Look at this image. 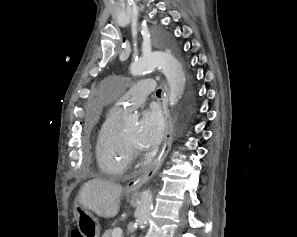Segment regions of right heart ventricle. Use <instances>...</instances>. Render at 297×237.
Listing matches in <instances>:
<instances>
[{
  "label": "right heart ventricle",
  "instance_id": "e07e8e85",
  "mask_svg": "<svg viewBox=\"0 0 297 237\" xmlns=\"http://www.w3.org/2000/svg\"><path fill=\"white\" fill-rule=\"evenodd\" d=\"M121 114L109 112L103 120L96 140V160L99 169L108 176L123 174L132 161V155L121 140L118 129Z\"/></svg>",
  "mask_w": 297,
  "mask_h": 237
}]
</instances>
